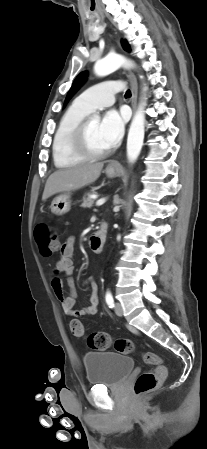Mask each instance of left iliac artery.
Segmentation results:
<instances>
[{"label": "left iliac artery", "instance_id": "44dca946", "mask_svg": "<svg viewBox=\"0 0 207 449\" xmlns=\"http://www.w3.org/2000/svg\"><path fill=\"white\" fill-rule=\"evenodd\" d=\"M105 300H106V303L108 304V306H109L110 308H113V307H114V299H113V296H112V294H111L110 291H107V292H106Z\"/></svg>", "mask_w": 207, "mask_h": 449}]
</instances>
